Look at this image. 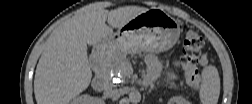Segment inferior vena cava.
Masks as SVG:
<instances>
[{
    "instance_id": "obj_1",
    "label": "inferior vena cava",
    "mask_w": 252,
    "mask_h": 104,
    "mask_svg": "<svg viewBox=\"0 0 252 104\" xmlns=\"http://www.w3.org/2000/svg\"><path fill=\"white\" fill-rule=\"evenodd\" d=\"M121 91L119 89H109L106 91V95L111 98H118Z\"/></svg>"
}]
</instances>
